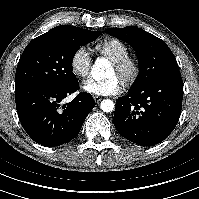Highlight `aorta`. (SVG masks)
Returning a JSON list of instances; mask_svg holds the SVG:
<instances>
[{"instance_id": "1", "label": "aorta", "mask_w": 199, "mask_h": 199, "mask_svg": "<svg viewBox=\"0 0 199 199\" xmlns=\"http://www.w3.org/2000/svg\"><path fill=\"white\" fill-rule=\"evenodd\" d=\"M109 67V62L105 58H98L92 68L93 77L100 80L105 76V70ZM114 102L110 99H105L101 102L100 108L103 112H112L114 110Z\"/></svg>"}]
</instances>
